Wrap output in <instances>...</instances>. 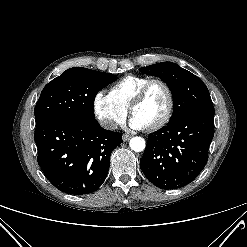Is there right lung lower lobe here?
<instances>
[{
	"label": "right lung lower lobe",
	"mask_w": 247,
	"mask_h": 247,
	"mask_svg": "<svg viewBox=\"0 0 247 247\" xmlns=\"http://www.w3.org/2000/svg\"><path fill=\"white\" fill-rule=\"evenodd\" d=\"M38 164L59 190L73 195L96 191L104 182L111 152L122 134L102 128L96 119L57 117L36 124Z\"/></svg>",
	"instance_id": "98d812e1"
}]
</instances>
